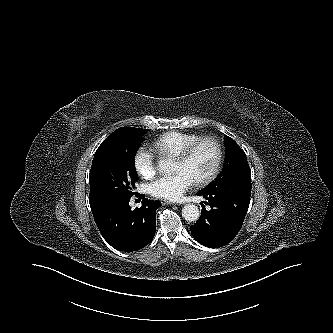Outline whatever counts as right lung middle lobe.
Segmentation results:
<instances>
[{
    "mask_svg": "<svg viewBox=\"0 0 333 333\" xmlns=\"http://www.w3.org/2000/svg\"><path fill=\"white\" fill-rule=\"evenodd\" d=\"M147 131L132 127L98 147L89 174L91 205L100 207L133 196L138 180L134 158Z\"/></svg>",
    "mask_w": 333,
    "mask_h": 333,
    "instance_id": "obj_1",
    "label": "right lung middle lobe"
}]
</instances>
